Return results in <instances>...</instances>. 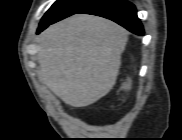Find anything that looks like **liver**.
Listing matches in <instances>:
<instances>
[{
	"instance_id": "1",
	"label": "liver",
	"mask_w": 182,
	"mask_h": 140,
	"mask_svg": "<svg viewBox=\"0 0 182 140\" xmlns=\"http://www.w3.org/2000/svg\"><path fill=\"white\" fill-rule=\"evenodd\" d=\"M127 39V31L110 20L66 18L37 38L39 80L72 107L91 105L114 86Z\"/></svg>"
}]
</instances>
